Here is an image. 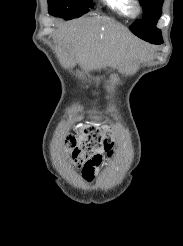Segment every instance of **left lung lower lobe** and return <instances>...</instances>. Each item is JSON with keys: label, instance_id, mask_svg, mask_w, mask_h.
<instances>
[{"label": "left lung lower lobe", "instance_id": "obj_1", "mask_svg": "<svg viewBox=\"0 0 183 246\" xmlns=\"http://www.w3.org/2000/svg\"><path fill=\"white\" fill-rule=\"evenodd\" d=\"M150 42L151 43H154V44H162L163 43V40L161 38H158V39H153Z\"/></svg>", "mask_w": 183, "mask_h": 246}]
</instances>
